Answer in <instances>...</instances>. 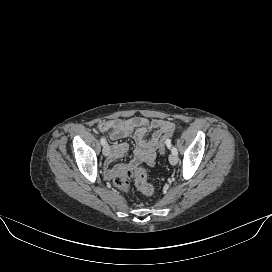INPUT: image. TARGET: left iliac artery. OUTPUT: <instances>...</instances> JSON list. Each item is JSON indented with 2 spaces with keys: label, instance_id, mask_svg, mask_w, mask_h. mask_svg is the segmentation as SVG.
Returning a JSON list of instances; mask_svg holds the SVG:
<instances>
[{
  "label": "left iliac artery",
  "instance_id": "left-iliac-artery-1",
  "mask_svg": "<svg viewBox=\"0 0 272 272\" xmlns=\"http://www.w3.org/2000/svg\"><path fill=\"white\" fill-rule=\"evenodd\" d=\"M171 152H172V154H174V155H177V154H178V151H177V149H176L174 146H172Z\"/></svg>",
  "mask_w": 272,
  "mask_h": 272
}]
</instances>
